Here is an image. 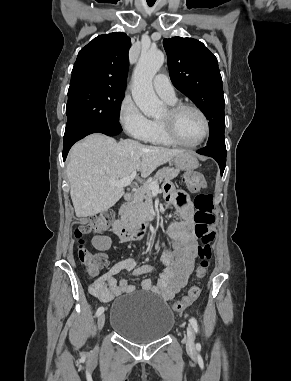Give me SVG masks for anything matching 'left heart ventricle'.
Instances as JSON below:
<instances>
[{
	"mask_svg": "<svg viewBox=\"0 0 291 381\" xmlns=\"http://www.w3.org/2000/svg\"><path fill=\"white\" fill-rule=\"evenodd\" d=\"M166 115L167 110L161 115L160 119L166 117ZM175 130L182 141L194 143L203 135L204 122L197 112L185 110L176 118Z\"/></svg>",
	"mask_w": 291,
	"mask_h": 381,
	"instance_id": "obj_1",
	"label": "left heart ventricle"
}]
</instances>
